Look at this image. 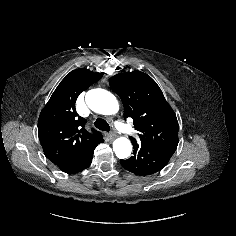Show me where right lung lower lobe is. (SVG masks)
Listing matches in <instances>:
<instances>
[{
    "label": "right lung lower lobe",
    "mask_w": 236,
    "mask_h": 236,
    "mask_svg": "<svg viewBox=\"0 0 236 236\" xmlns=\"http://www.w3.org/2000/svg\"><path fill=\"white\" fill-rule=\"evenodd\" d=\"M97 145L92 146L78 155L67 160L56 163L55 165L65 173L73 174L88 168L92 162L94 149Z\"/></svg>",
    "instance_id": "obj_1"
}]
</instances>
